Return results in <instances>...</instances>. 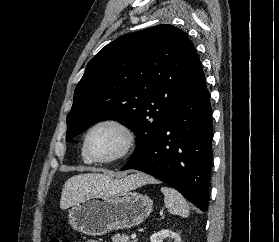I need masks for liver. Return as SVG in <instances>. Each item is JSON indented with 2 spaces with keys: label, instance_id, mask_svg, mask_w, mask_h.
Returning a JSON list of instances; mask_svg holds the SVG:
<instances>
[{
  "label": "liver",
  "instance_id": "6515ba94",
  "mask_svg": "<svg viewBox=\"0 0 279 242\" xmlns=\"http://www.w3.org/2000/svg\"><path fill=\"white\" fill-rule=\"evenodd\" d=\"M155 180L144 174H136L121 180L100 173L79 174L69 178L62 189L60 208L67 209L82 199L103 195L117 189H135Z\"/></svg>",
  "mask_w": 279,
  "mask_h": 242
}]
</instances>
